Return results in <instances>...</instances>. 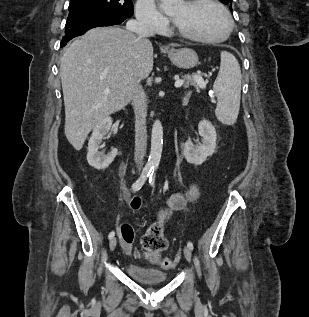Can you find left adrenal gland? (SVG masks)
Returning a JSON list of instances; mask_svg holds the SVG:
<instances>
[{
	"label": "left adrenal gland",
	"mask_w": 309,
	"mask_h": 317,
	"mask_svg": "<svg viewBox=\"0 0 309 317\" xmlns=\"http://www.w3.org/2000/svg\"><path fill=\"white\" fill-rule=\"evenodd\" d=\"M190 94H191L190 91L185 94V97L183 99L184 102H187L189 100Z\"/></svg>",
	"instance_id": "obj_1"
}]
</instances>
